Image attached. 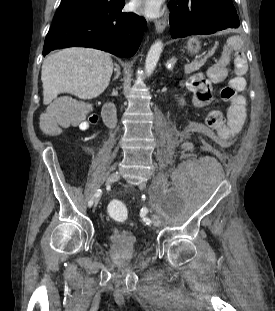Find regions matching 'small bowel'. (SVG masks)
<instances>
[{"label":"small bowel","instance_id":"obj_1","mask_svg":"<svg viewBox=\"0 0 275 311\" xmlns=\"http://www.w3.org/2000/svg\"><path fill=\"white\" fill-rule=\"evenodd\" d=\"M242 46L241 38L230 37L227 40V49L224 50L222 60H214V65H209L208 69H202L201 73H193V80H186L187 93H195L193 108H205L207 129H212L213 143H230L235 139V133H242L243 121L246 116V100L242 95H238L229 102V118L223 115L220 105H210L213 103V87L211 80H225L228 67H231V57H247V50H240ZM98 122L97 115H90L86 119L77 123L78 129L87 131Z\"/></svg>","mask_w":275,"mask_h":311}]
</instances>
